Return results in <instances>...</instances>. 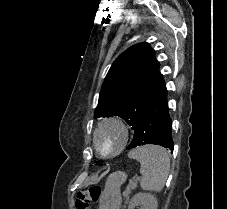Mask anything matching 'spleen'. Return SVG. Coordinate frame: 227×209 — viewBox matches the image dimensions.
Returning <instances> with one entry per match:
<instances>
[{
	"instance_id": "obj_1",
	"label": "spleen",
	"mask_w": 227,
	"mask_h": 209,
	"mask_svg": "<svg viewBox=\"0 0 227 209\" xmlns=\"http://www.w3.org/2000/svg\"><path fill=\"white\" fill-rule=\"evenodd\" d=\"M128 157L136 159L141 165V189L160 193L167 181L170 169V159L166 151L156 145H144V147L132 149Z\"/></svg>"
}]
</instances>
